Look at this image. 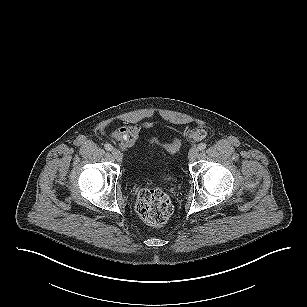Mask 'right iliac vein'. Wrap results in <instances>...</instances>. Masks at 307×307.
Wrapping results in <instances>:
<instances>
[{
	"instance_id": "obj_1",
	"label": "right iliac vein",
	"mask_w": 307,
	"mask_h": 307,
	"mask_svg": "<svg viewBox=\"0 0 307 307\" xmlns=\"http://www.w3.org/2000/svg\"><path fill=\"white\" fill-rule=\"evenodd\" d=\"M112 155H113V157H114L117 161L120 162V161L122 160L123 155H122V153H121L119 150L113 149V150H112Z\"/></svg>"
}]
</instances>
